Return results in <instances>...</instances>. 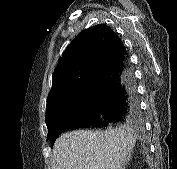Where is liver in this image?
<instances>
[{"label":"liver","mask_w":177,"mask_h":169,"mask_svg":"<svg viewBox=\"0 0 177 169\" xmlns=\"http://www.w3.org/2000/svg\"><path fill=\"white\" fill-rule=\"evenodd\" d=\"M135 143L130 127L67 132L54 144L52 169H125Z\"/></svg>","instance_id":"6515ba94"}]
</instances>
